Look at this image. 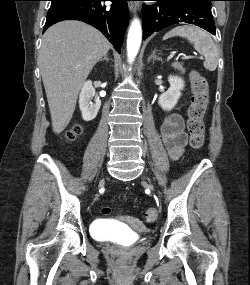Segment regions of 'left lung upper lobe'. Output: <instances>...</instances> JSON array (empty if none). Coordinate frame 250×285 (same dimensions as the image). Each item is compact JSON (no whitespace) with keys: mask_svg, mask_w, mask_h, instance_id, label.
<instances>
[{"mask_svg":"<svg viewBox=\"0 0 250 285\" xmlns=\"http://www.w3.org/2000/svg\"><path fill=\"white\" fill-rule=\"evenodd\" d=\"M201 1L208 3V4H211V1H213V0H201Z\"/></svg>","mask_w":250,"mask_h":285,"instance_id":"1","label":"left lung upper lobe"}]
</instances>
